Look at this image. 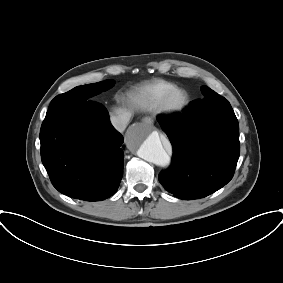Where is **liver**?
I'll return each mask as SVG.
<instances>
[{
	"label": "liver",
	"mask_w": 283,
	"mask_h": 283,
	"mask_svg": "<svg viewBox=\"0 0 283 283\" xmlns=\"http://www.w3.org/2000/svg\"><path fill=\"white\" fill-rule=\"evenodd\" d=\"M123 113H129L128 111H126L125 109H117L116 110V114H123Z\"/></svg>",
	"instance_id": "6515ba94"
}]
</instances>
